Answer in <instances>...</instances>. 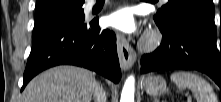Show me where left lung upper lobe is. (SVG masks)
Returning <instances> with one entry per match:
<instances>
[{"label":"left lung upper lobe","mask_w":221,"mask_h":102,"mask_svg":"<svg viewBox=\"0 0 221 102\" xmlns=\"http://www.w3.org/2000/svg\"><path fill=\"white\" fill-rule=\"evenodd\" d=\"M212 0H168V3L154 16L156 24L167 28L170 24L186 19L216 32Z\"/></svg>","instance_id":"obj_1"}]
</instances>
